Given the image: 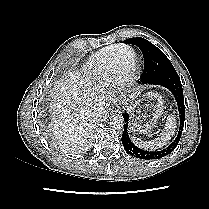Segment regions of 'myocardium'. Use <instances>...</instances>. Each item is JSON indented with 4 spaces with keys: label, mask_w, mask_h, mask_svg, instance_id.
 Listing matches in <instances>:
<instances>
[{
    "label": "myocardium",
    "mask_w": 209,
    "mask_h": 209,
    "mask_svg": "<svg viewBox=\"0 0 209 209\" xmlns=\"http://www.w3.org/2000/svg\"><path fill=\"white\" fill-rule=\"evenodd\" d=\"M125 50H131L136 54L134 48L130 45H121L113 54L110 68H109V81L115 85H126L132 78L135 65H130L128 68L121 70L118 66V59L120 54Z\"/></svg>",
    "instance_id": "1"
}]
</instances>
